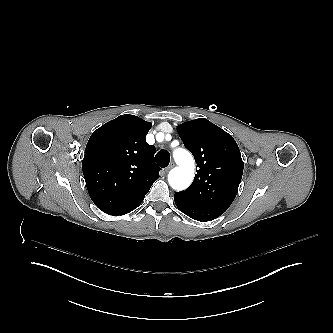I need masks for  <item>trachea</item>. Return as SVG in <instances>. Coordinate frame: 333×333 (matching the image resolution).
I'll use <instances>...</instances> for the list:
<instances>
[{
	"label": "trachea",
	"mask_w": 333,
	"mask_h": 333,
	"mask_svg": "<svg viewBox=\"0 0 333 333\" xmlns=\"http://www.w3.org/2000/svg\"><path fill=\"white\" fill-rule=\"evenodd\" d=\"M155 161L160 167H166L170 162V154L166 150L159 151L155 156Z\"/></svg>",
	"instance_id": "1"
}]
</instances>
